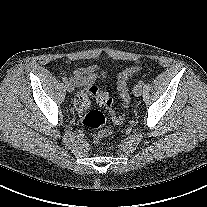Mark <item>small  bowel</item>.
Instances as JSON below:
<instances>
[{"instance_id": "1", "label": "small bowel", "mask_w": 207, "mask_h": 207, "mask_svg": "<svg viewBox=\"0 0 207 207\" xmlns=\"http://www.w3.org/2000/svg\"><path fill=\"white\" fill-rule=\"evenodd\" d=\"M97 65L81 66L76 68L70 75V80L76 86H91L100 78Z\"/></svg>"}]
</instances>
